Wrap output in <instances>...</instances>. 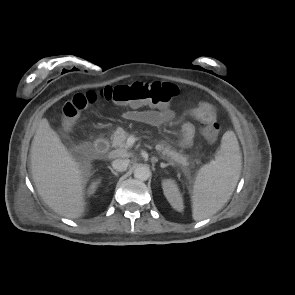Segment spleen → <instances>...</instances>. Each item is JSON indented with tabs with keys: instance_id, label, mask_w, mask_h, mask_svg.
<instances>
[{
	"instance_id": "spleen-1",
	"label": "spleen",
	"mask_w": 295,
	"mask_h": 295,
	"mask_svg": "<svg viewBox=\"0 0 295 295\" xmlns=\"http://www.w3.org/2000/svg\"><path fill=\"white\" fill-rule=\"evenodd\" d=\"M241 169L236 135L227 131L215 159L202 166L196 176L192 191V217L195 221L204 220L223 207L238 183Z\"/></svg>"
}]
</instances>
